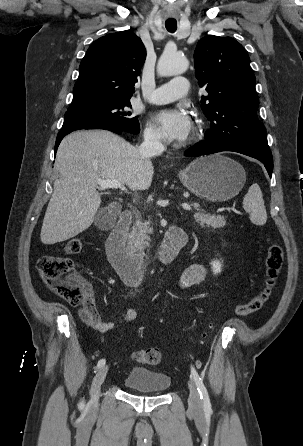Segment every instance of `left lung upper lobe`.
<instances>
[{"mask_svg": "<svg viewBox=\"0 0 303 446\" xmlns=\"http://www.w3.org/2000/svg\"><path fill=\"white\" fill-rule=\"evenodd\" d=\"M194 60L199 86L208 92L201 97V108L211 122L206 142L269 148L257 117L255 76L243 46L231 37L209 35L198 42Z\"/></svg>", "mask_w": 303, "mask_h": 446, "instance_id": "1", "label": "left lung upper lobe"}]
</instances>
